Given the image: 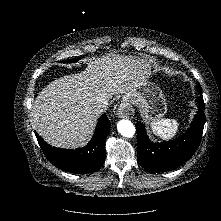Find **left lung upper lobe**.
Wrapping results in <instances>:
<instances>
[{"label":"left lung upper lobe","instance_id":"left-lung-upper-lobe-1","mask_svg":"<svg viewBox=\"0 0 221 221\" xmlns=\"http://www.w3.org/2000/svg\"><path fill=\"white\" fill-rule=\"evenodd\" d=\"M197 88H198V91H201L200 85H198Z\"/></svg>","mask_w":221,"mask_h":221}]
</instances>
